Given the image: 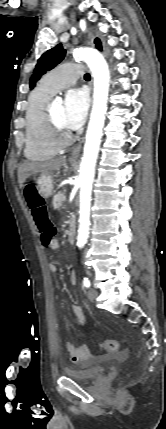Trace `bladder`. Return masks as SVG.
<instances>
[{
  "mask_svg": "<svg viewBox=\"0 0 166 429\" xmlns=\"http://www.w3.org/2000/svg\"><path fill=\"white\" fill-rule=\"evenodd\" d=\"M106 371V366H95L86 369H65L66 376L78 382H90L101 377Z\"/></svg>",
  "mask_w": 166,
  "mask_h": 429,
  "instance_id": "31cf9c89",
  "label": "bladder"
}]
</instances>
